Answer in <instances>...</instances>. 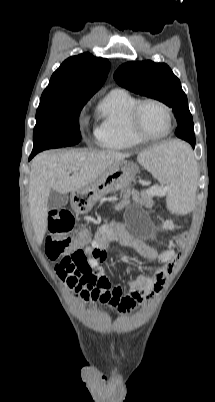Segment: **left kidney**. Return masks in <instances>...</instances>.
Segmentation results:
<instances>
[{
    "label": "left kidney",
    "mask_w": 215,
    "mask_h": 402,
    "mask_svg": "<svg viewBox=\"0 0 215 402\" xmlns=\"http://www.w3.org/2000/svg\"><path fill=\"white\" fill-rule=\"evenodd\" d=\"M166 226H167V228L172 229V228H174L175 223H174V221L169 220V221H167Z\"/></svg>",
    "instance_id": "1"
}]
</instances>
